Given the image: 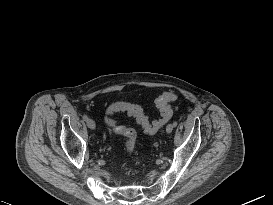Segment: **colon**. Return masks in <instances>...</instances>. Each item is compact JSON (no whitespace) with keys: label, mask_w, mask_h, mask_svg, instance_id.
Segmentation results:
<instances>
[{"label":"colon","mask_w":273,"mask_h":205,"mask_svg":"<svg viewBox=\"0 0 273 205\" xmlns=\"http://www.w3.org/2000/svg\"><path fill=\"white\" fill-rule=\"evenodd\" d=\"M177 99V95L173 92H165L157 97L155 104L160 112V118L150 122L144 111L137 105H130L126 108L128 114L132 115L137 123L143 128L146 133L153 134L167 124L173 115L170 104ZM124 109L122 103H115L108 106L105 111V122L111 130L125 138V151L127 154H132L135 149L137 133L134 129L119 125L112 116L116 112Z\"/></svg>","instance_id":"colon-1"}]
</instances>
